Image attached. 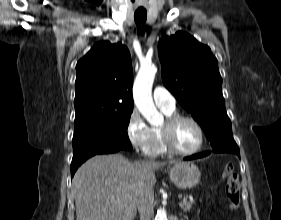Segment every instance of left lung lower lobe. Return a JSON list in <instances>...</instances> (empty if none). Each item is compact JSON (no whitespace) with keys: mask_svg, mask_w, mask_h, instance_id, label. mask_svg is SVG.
Masks as SVG:
<instances>
[{"mask_svg":"<svg viewBox=\"0 0 281 220\" xmlns=\"http://www.w3.org/2000/svg\"><path fill=\"white\" fill-rule=\"evenodd\" d=\"M212 152H214V151H212ZM209 153L210 152H203V153H200V154H196V155L185 158V160H192V159H196V158H201V157H204V156L208 155ZM214 153H218V152H214ZM232 153H234V154H236L240 157L239 148L235 149Z\"/></svg>","mask_w":281,"mask_h":220,"instance_id":"obj_1","label":"left lung lower lobe"}]
</instances>
